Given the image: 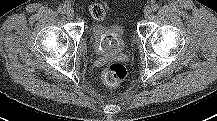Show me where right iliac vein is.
<instances>
[{"mask_svg":"<svg viewBox=\"0 0 217 121\" xmlns=\"http://www.w3.org/2000/svg\"><path fill=\"white\" fill-rule=\"evenodd\" d=\"M66 16H67V18H68L69 20H73V18H74V14H73V12L70 11V10L67 11Z\"/></svg>","mask_w":217,"mask_h":121,"instance_id":"right-iliac-vein-1","label":"right iliac vein"}]
</instances>
